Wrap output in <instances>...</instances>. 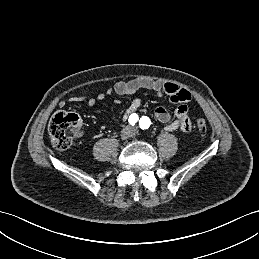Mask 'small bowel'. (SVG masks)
I'll use <instances>...</instances> for the list:
<instances>
[{
    "label": "small bowel",
    "instance_id": "obj_1",
    "mask_svg": "<svg viewBox=\"0 0 259 259\" xmlns=\"http://www.w3.org/2000/svg\"><path fill=\"white\" fill-rule=\"evenodd\" d=\"M140 90H149L158 95H167L170 102L177 104L176 119L172 120L171 114L164 106H158L155 109V118L165 124V130L168 132L183 131L189 132L192 128L191 120L188 116L187 103L191 100V94L188 90L170 82H159L147 78H135L129 81H119L113 87L108 88L104 93L96 97L74 96L71 102H87L88 106L93 107L97 102L102 101L106 96L117 94L121 96L134 95ZM63 105V102L60 103ZM141 105L140 98H134L125 111V118L136 112Z\"/></svg>",
    "mask_w": 259,
    "mask_h": 259
}]
</instances>
